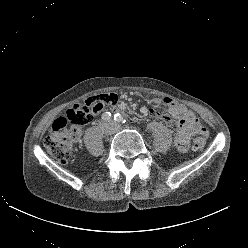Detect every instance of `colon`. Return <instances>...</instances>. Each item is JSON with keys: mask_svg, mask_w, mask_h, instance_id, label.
I'll return each mask as SVG.
<instances>
[{"mask_svg": "<svg viewBox=\"0 0 248 248\" xmlns=\"http://www.w3.org/2000/svg\"><path fill=\"white\" fill-rule=\"evenodd\" d=\"M102 103L113 104L112 95L104 94L88 97L81 103L70 107L64 117L57 118L45 138L47 151L60 163L68 162L72 155L74 144L79 137V128L88 124L100 110ZM207 131L204 127H196V136L192 149L201 151L206 143Z\"/></svg>", "mask_w": 248, "mask_h": 248, "instance_id": "5ec220e1", "label": "colon"}]
</instances>
